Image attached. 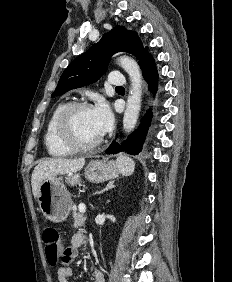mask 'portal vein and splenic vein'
<instances>
[{"label": "portal vein and splenic vein", "mask_w": 232, "mask_h": 282, "mask_svg": "<svg viewBox=\"0 0 232 282\" xmlns=\"http://www.w3.org/2000/svg\"><path fill=\"white\" fill-rule=\"evenodd\" d=\"M79 211H80L81 213H85V212H86V206H85V204H80V205H79Z\"/></svg>", "instance_id": "1"}]
</instances>
